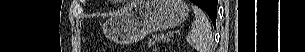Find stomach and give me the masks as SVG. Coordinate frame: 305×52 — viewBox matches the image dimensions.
Wrapping results in <instances>:
<instances>
[{
	"mask_svg": "<svg viewBox=\"0 0 305 52\" xmlns=\"http://www.w3.org/2000/svg\"><path fill=\"white\" fill-rule=\"evenodd\" d=\"M188 13L183 0H136L109 18L103 32L111 41L129 44L154 31L180 25Z\"/></svg>",
	"mask_w": 305,
	"mask_h": 52,
	"instance_id": "1",
	"label": "stomach"
}]
</instances>
